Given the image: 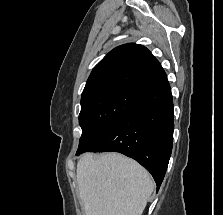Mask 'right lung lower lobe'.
<instances>
[{
    "instance_id": "98d812e1",
    "label": "right lung lower lobe",
    "mask_w": 223,
    "mask_h": 215,
    "mask_svg": "<svg viewBox=\"0 0 223 215\" xmlns=\"http://www.w3.org/2000/svg\"><path fill=\"white\" fill-rule=\"evenodd\" d=\"M173 117L167 84L143 96L87 151H114L135 159L152 174L158 191L171 156Z\"/></svg>"
}]
</instances>
